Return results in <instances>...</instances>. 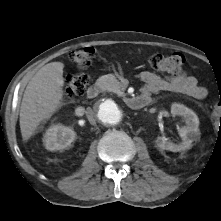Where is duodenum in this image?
I'll use <instances>...</instances> for the list:
<instances>
[{
	"label": "duodenum",
	"instance_id": "obj_1",
	"mask_svg": "<svg viewBox=\"0 0 221 221\" xmlns=\"http://www.w3.org/2000/svg\"><path fill=\"white\" fill-rule=\"evenodd\" d=\"M100 91V86L94 84L90 86L87 90V97L90 99L95 98ZM151 102V96L149 94H142L135 97H130L127 99V103L131 108L140 109L147 106Z\"/></svg>",
	"mask_w": 221,
	"mask_h": 221
}]
</instances>
